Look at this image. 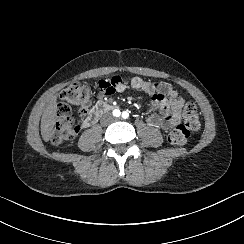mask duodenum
<instances>
[{
	"label": "duodenum",
	"instance_id": "duodenum-1",
	"mask_svg": "<svg viewBox=\"0 0 244 244\" xmlns=\"http://www.w3.org/2000/svg\"><path fill=\"white\" fill-rule=\"evenodd\" d=\"M115 106L112 103L104 102V101H99L94 105V107L91 110V115L89 117L88 122L93 125L94 122L101 117L105 112L110 111L114 108Z\"/></svg>",
	"mask_w": 244,
	"mask_h": 244
}]
</instances>
